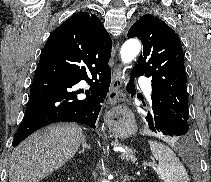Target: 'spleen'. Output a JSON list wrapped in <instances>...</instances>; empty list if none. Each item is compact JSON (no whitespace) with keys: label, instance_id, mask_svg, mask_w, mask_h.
<instances>
[{"label":"spleen","instance_id":"1","mask_svg":"<svg viewBox=\"0 0 211 182\" xmlns=\"http://www.w3.org/2000/svg\"><path fill=\"white\" fill-rule=\"evenodd\" d=\"M148 143L158 161L156 172L164 182H189L186 169L171 148L158 141Z\"/></svg>","mask_w":211,"mask_h":182}]
</instances>
